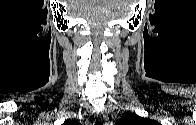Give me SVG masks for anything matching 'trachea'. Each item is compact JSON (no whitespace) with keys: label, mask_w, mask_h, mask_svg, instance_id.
<instances>
[{"label":"trachea","mask_w":196,"mask_h":125,"mask_svg":"<svg viewBox=\"0 0 196 125\" xmlns=\"http://www.w3.org/2000/svg\"><path fill=\"white\" fill-rule=\"evenodd\" d=\"M96 125H103V123L102 122H97Z\"/></svg>","instance_id":"1"}]
</instances>
